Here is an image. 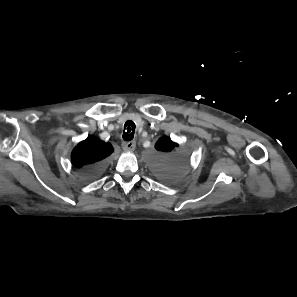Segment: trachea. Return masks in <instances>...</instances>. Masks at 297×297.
<instances>
[{
	"mask_svg": "<svg viewBox=\"0 0 297 297\" xmlns=\"http://www.w3.org/2000/svg\"><path fill=\"white\" fill-rule=\"evenodd\" d=\"M134 132H135V123L133 121H127L124 125V131H123V139L125 141H131L134 138Z\"/></svg>",
	"mask_w": 297,
	"mask_h": 297,
	"instance_id": "obj_1",
	"label": "trachea"
}]
</instances>
